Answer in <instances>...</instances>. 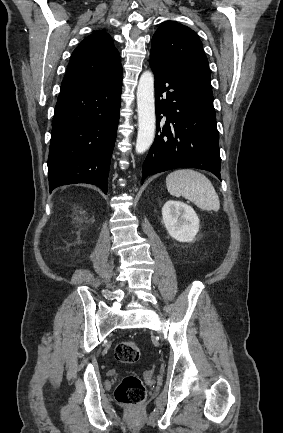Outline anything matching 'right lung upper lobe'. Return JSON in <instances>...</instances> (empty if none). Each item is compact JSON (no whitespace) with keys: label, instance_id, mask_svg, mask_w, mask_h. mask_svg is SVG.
<instances>
[{"label":"right lung upper lobe","instance_id":"obj_1","mask_svg":"<svg viewBox=\"0 0 283 433\" xmlns=\"http://www.w3.org/2000/svg\"><path fill=\"white\" fill-rule=\"evenodd\" d=\"M122 77L120 54L108 33L98 30L74 50L60 94L99 87Z\"/></svg>","mask_w":283,"mask_h":433}]
</instances>
